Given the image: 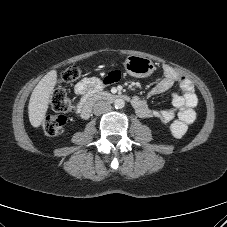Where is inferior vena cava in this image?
I'll return each instance as SVG.
<instances>
[{
    "label": "inferior vena cava",
    "instance_id": "602c4592",
    "mask_svg": "<svg viewBox=\"0 0 227 227\" xmlns=\"http://www.w3.org/2000/svg\"><path fill=\"white\" fill-rule=\"evenodd\" d=\"M111 110V105L105 101H98L93 107V113L95 115H101Z\"/></svg>",
    "mask_w": 227,
    "mask_h": 227
}]
</instances>
